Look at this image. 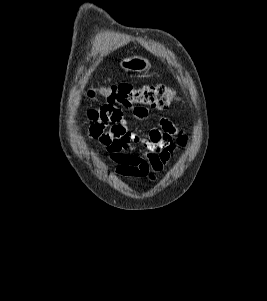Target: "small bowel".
Here are the masks:
<instances>
[{
    "label": "small bowel",
    "mask_w": 267,
    "mask_h": 301,
    "mask_svg": "<svg viewBox=\"0 0 267 301\" xmlns=\"http://www.w3.org/2000/svg\"><path fill=\"white\" fill-rule=\"evenodd\" d=\"M133 115L138 120H146L148 109L135 107ZM87 119L88 134L104 147L108 160L115 165L114 173L130 179L155 181L177 147L187 144V137L167 118H161L159 126L147 136H139L129 129L122 109L111 102L89 109ZM137 144L143 147L140 153L135 152Z\"/></svg>",
    "instance_id": "small-bowel-1"
}]
</instances>
